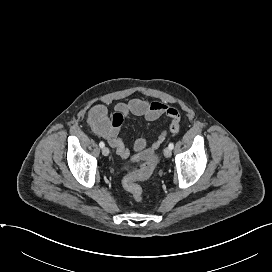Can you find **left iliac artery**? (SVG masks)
Segmentation results:
<instances>
[{"instance_id":"left-iliac-artery-1","label":"left iliac artery","mask_w":272,"mask_h":272,"mask_svg":"<svg viewBox=\"0 0 272 272\" xmlns=\"http://www.w3.org/2000/svg\"><path fill=\"white\" fill-rule=\"evenodd\" d=\"M168 147L172 150L174 148V144L170 143Z\"/></svg>"}]
</instances>
